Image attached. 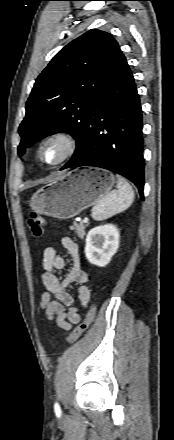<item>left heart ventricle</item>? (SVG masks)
<instances>
[{"mask_svg":"<svg viewBox=\"0 0 174 440\" xmlns=\"http://www.w3.org/2000/svg\"><path fill=\"white\" fill-rule=\"evenodd\" d=\"M63 152V144L60 142H51L49 143L44 151L43 157L45 161L52 163L57 161Z\"/></svg>","mask_w":174,"mask_h":440,"instance_id":"obj_1","label":"left heart ventricle"}]
</instances>
